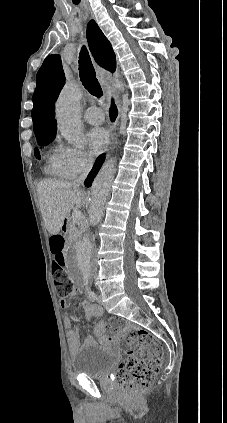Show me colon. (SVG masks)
Segmentation results:
<instances>
[{"label": "colon", "instance_id": "1", "mask_svg": "<svg viewBox=\"0 0 227 423\" xmlns=\"http://www.w3.org/2000/svg\"><path fill=\"white\" fill-rule=\"evenodd\" d=\"M50 246L54 256V283L61 295H69L73 292V285L65 271L64 238L61 235L52 236ZM110 323L116 329L121 350L127 354V358L117 370L119 384L130 396L141 394L151 386L161 367V344L154 335L143 328L122 324L116 319H112Z\"/></svg>", "mask_w": 227, "mask_h": 423}]
</instances>
